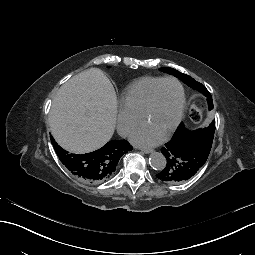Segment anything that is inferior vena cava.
<instances>
[{
  "label": "inferior vena cava",
  "mask_w": 255,
  "mask_h": 255,
  "mask_svg": "<svg viewBox=\"0 0 255 255\" xmlns=\"http://www.w3.org/2000/svg\"><path fill=\"white\" fill-rule=\"evenodd\" d=\"M128 132H129V128H127V127H124V128H121L118 130L119 136H121L123 138H125L128 135Z\"/></svg>",
  "instance_id": "1"
}]
</instances>
